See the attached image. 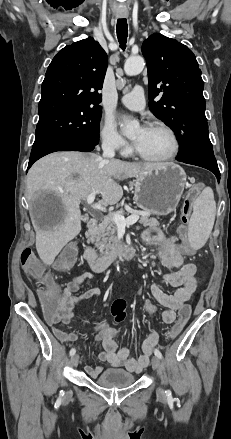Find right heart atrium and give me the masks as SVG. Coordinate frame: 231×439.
<instances>
[{
    "label": "right heart atrium",
    "instance_id": "obj_1",
    "mask_svg": "<svg viewBox=\"0 0 231 439\" xmlns=\"http://www.w3.org/2000/svg\"><path fill=\"white\" fill-rule=\"evenodd\" d=\"M100 138L104 148L121 154L130 152V147L122 136L118 133L114 123L110 119H105L100 126Z\"/></svg>",
    "mask_w": 231,
    "mask_h": 439
}]
</instances>
